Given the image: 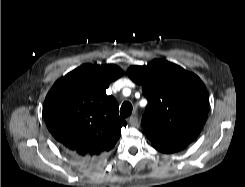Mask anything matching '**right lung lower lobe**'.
I'll return each mask as SVG.
<instances>
[{"label": "right lung lower lobe", "mask_w": 245, "mask_h": 187, "mask_svg": "<svg viewBox=\"0 0 245 187\" xmlns=\"http://www.w3.org/2000/svg\"><path fill=\"white\" fill-rule=\"evenodd\" d=\"M63 148H64V147H63ZM64 149H65L67 152H69L70 154H72L73 156H75V157H77V158H79V159H88V158H86V157L78 156V155H76L75 153H73V152L67 150L66 148H64Z\"/></svg>", "instance_id": "right-lung-lower-lobe-1"}]
</instances>
